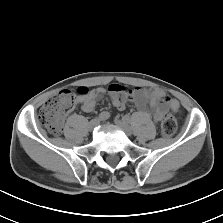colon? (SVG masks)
Here are the masks:
<instances>
[{
	"label": "colon",
	"instance_id": "5ec220e1",
	"mask_svg": "<svg viewBox=\"0 0 223 223\" xmlns=\"http://www.w3.org/2000/svg\"><path fill=\"white\" fill-rule=\"evenodd\" d=\"M88 92L86 87L77 89V94L65 89L52 96L40 109L38 121L50 133L58 135L63 127L65 116L74 108L76 96H84ZM177 129L176 118L171 113H166L161 121V131L165 137H171Z\"/></svg>",
	"mask_w": 223,
	"mask_h": 223
}]
</instances>
